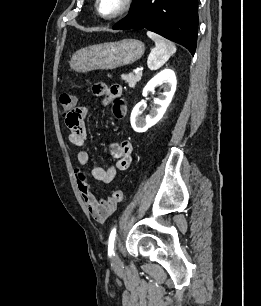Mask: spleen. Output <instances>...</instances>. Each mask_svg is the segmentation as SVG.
<instances>
[{
  "label": "spleen",
  "instance_id": "1",
  "mask_svg": "<svg viewBox=\"0 0 261 306\" xmlns=\"http://www.w3.org/2000/svg\"><path fill=\"white\" fill-rule=\"evenodd\" d=\"M147 36L155 42V48L151 50L147 66L150 70H157L176 52L175 45L160 35L147 31Z\"/></svg>",
  "mask_w": 261,
  "mask_h": 306
}]
</instances>
